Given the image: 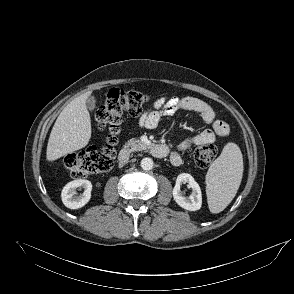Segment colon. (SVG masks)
I'll return each instance as SVG.
<instances>
[{
  "instance_id": "5ec220e1",
  "label": "colon",
  "mask_w": 294,
  "mask_h": 294,
  "mask_svg": "<svg viewBox=\"0 0 294 294\" xmlns=\"http://www.w3.org/2000/svg\"><path fill=\"white\" fill-rule=\"evenodd\" d=\"M148 97L137 91L111 89L104 102L96 111L95 117L101 130L109 132L107 144L101 148L89 149L68 154L64 164L74 179L109 171L113 166V145L117 141L116 135L120 130L122 116L129 114L138 116L142 113ZM217 148L212 143H201L194 150V161L200 168H207L216 158Z\"/></svg>"
}]
</instances>
